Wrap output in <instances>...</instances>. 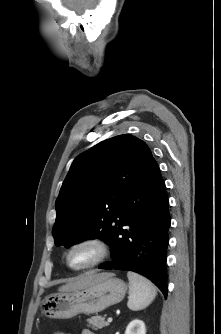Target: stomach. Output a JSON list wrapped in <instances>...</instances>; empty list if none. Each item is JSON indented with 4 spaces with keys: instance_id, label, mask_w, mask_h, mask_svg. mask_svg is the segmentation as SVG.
Listing matches in <instances>:
<instances>
[{
    "instance_id": "obj_1",
    "label": "stomach",
    "mask_w": 221,
    "mask_h": 334,
    "mask_svg": "<svg viewBox=\"0 0 221 334\" xmlns=\"http://www.w3.org/2000/svg\"><path fill=\"white\" fill-rule=\"evenodd\" d=\"M96 283L76 291L51 294L42 300L41 310L49 318L69 319L80 313L97 314L123 300L126 283L105 273Z\"/></svg>"
}]
</instances>
